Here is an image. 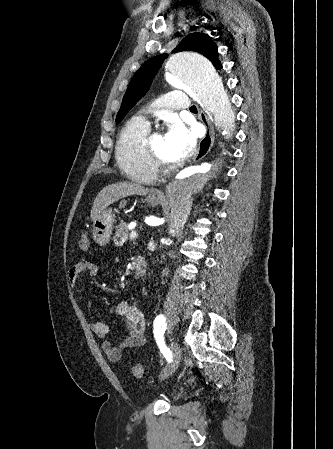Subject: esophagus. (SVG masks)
<instances>
[{"mask_svg":"<svg viewBox=\"0 0 333 449\" xmlns=\"http://www.w3.org/2000/svg\"><path fill=\"white\" fill-rule=\"evenodd\" d=\"M200 119L206 127V134L200 141L198 152L194 158V161L196 162L206 156V154L210 151L211 147L213 146L215 139L214 126L210 121V119L208 118V116L202 110L200 111ZM153 195L156 197H162L163 192L160 189H156L153 192Z\"/></svg>","mask_w":333,"mask_h":449,"instance_id":"obj_1","label":"esophagus"}]
</instances>
